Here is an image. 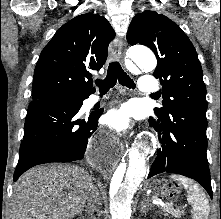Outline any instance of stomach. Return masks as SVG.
Returning a JSON list of instances; mask_svg holds the SVG:
<instances>
[{
    "label": "stomach",
    "mask_w": 221,
    "mask_h": 219,
    "mask_svg": "<svg viewBox=\"0 0 221 219\" xmlns=\"http://www.w3.org/2000/svg\"><path fill=\"white\" fill-rule=\"evenodd\" d=\"M167 185L168 183L163 180H154L152 182L154 195H161L162 198L167 195H179V190H167Z\"/></svg>",
    "instance_id": "stomach-1"
}]
</instances>
